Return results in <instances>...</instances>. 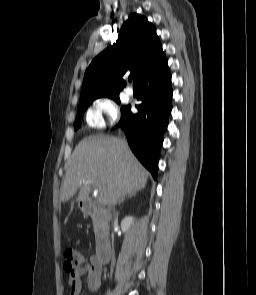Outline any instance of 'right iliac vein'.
<instances>
[{"mask_svg": "<svg viewBox=\"0 0 256 295\" xmlns=\"http://www.w3.org/2000/svg\"><path fill=\"white\" fill-rule=\"evenodd\" d=\"M109 295H114V292H113V291H110V292H109Z\"/></svg>", "mask_w": 256, "mask_h": 295, "instance_id": "obj_1", "label": "right iliac vein"}]
</instances>
